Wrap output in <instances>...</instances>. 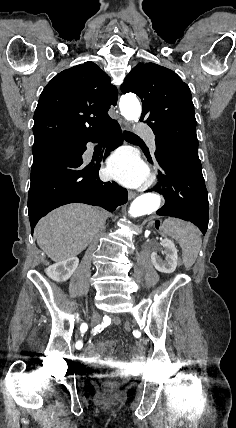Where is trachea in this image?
<instances>
[{
    "mask_svg": "<svg viewBox=\"0 0 236 428\" xmlns=\"http://www.w3.org/2000/svg\"><path fill=\"white\" fill-rule=\"evenodd\" d=\"M124 138L125 140H130V139H139L140 137H138L137 135H135V133H132L131 131H125Z\"/></svg>",
    "mask_w": 236,
    "mask_h": 428,
    "instance_id": "3493384b",
    "label": "trachea"
}]
</instances>
